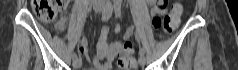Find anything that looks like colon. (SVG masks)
Masks as SVG:
<instances>
[{
  "label": "colon",
  "mask_w": 238,
  "mask_h": 70,
  "mask_svg": "<svg viewBox=\"0 0 238 70\" xmlns=\"http://www.w3.org/2000/svg\"><path fill=\"white\" fill-rule=\"evenodd\" d=\"M159 6L164 4V1H157ZM33 10L36 15L44 21H52L56 16L62 12L66 7L65 0H34L32 2ZM181 7L179 4H175L172 11L166 15L163 19L159 17L153 18V26L155 28H162L164 32L170 33L174 31L180 18ZM133 33H124L122 37V47L127 48L125 54H118L117 66L121 70H129L134 67L135 60L131 54H133L132 43Z\"/></svg>",
  "instance_id": "5ec220e1"
}]
</instances>
